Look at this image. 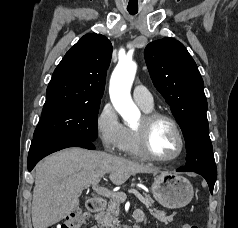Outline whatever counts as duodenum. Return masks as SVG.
<instances>
[{
  "label": "duodenum",
  "mask_w": 238,
  "mask_h": 228,
  "mask_svg": "<svg viewBox=\"0 0 238 228\" xmlns=\"http://www.w3.org/2000/svg\"><path fill=\"white\" fill-rule=\"evenodd\" d=\"M106 201L103 198L95 197L88 201L87 209L94 215H99L105 208ZM144 219V213L141 210H135L132 214V220L134 222H141Z\"/></svg>",
  "instance_id": "duodenum-1"
}]
</instances>
